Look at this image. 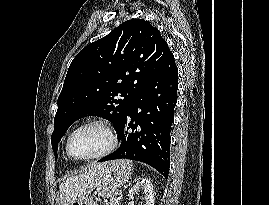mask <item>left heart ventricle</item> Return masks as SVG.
Segmentation results:
<instances>
[{
  "instance_id": "left-heart-ventricle-1",
  "label": "left heart ventricle",
  "mask_w": 269,
  "mask_h": 205,
  "mask_svg": "<svg viewBox=\"0 0 269 205\" xmlns=\"http://www.w3.org/2000/svg\"><path fill=\"white\" fill-rule=\"evenodd\" d=\"M109 145L106 131L91 125L80 129L72 138L71 150L77 157H88L105 150Z\"/></svg>"
}]
</instances>
